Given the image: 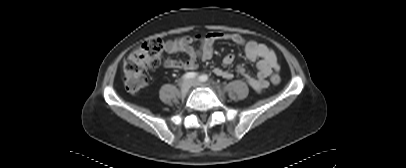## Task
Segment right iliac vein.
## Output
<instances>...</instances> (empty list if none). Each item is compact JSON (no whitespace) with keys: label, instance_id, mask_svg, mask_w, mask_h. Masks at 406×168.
I'll list each match as a JSON object with an SVG mask.
<instances>
[{"label":"right iliac vein","instance_id":"right-iliac-vein-1","mask_svg":"<svg viewBox=\"0 0 406 168\" xmlns=\"http://www.w3.org/2000/svg\"><path fill=\"white\" fill-rule=\"evenodd\" d=\"M193 85V81L192 80H186L182 83L181 85V94L184 96L188 93V91L190 90L191 86Z\"/></svg>","mask_w":406,"mask_h":168}]
</instances>
